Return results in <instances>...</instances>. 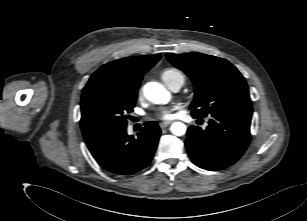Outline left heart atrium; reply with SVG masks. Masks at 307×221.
<instances>
[{
  "instance_id": "1",
  "label": "left heart atrium",
  "mask_w": 307,
  "mask_h": 221,
  "mask_svg": "<svg viewBox=\"0 0 307 221\" xmlns=\"http://www.w3.org/2000/svg\"><path fill=\"white\" fill-rule=\"evenodd\" d=\"M173 110L174 109L171 108V107H166V108L159 109L154 114V118H156L158 120H163V121L170 120L173 117Z\"/></svg>"
}]
</instances>
